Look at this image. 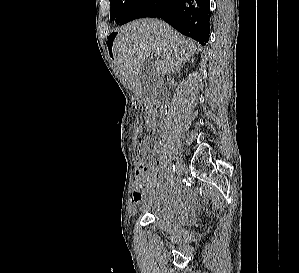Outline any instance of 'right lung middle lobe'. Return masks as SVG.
Returning a JSON list of instances; mask_svg holds the SVG:
<instances>
[{"instance_id":"right-lung-middle-lobe-1","label":"right lung middle lobe","mask_w":299,"mask_h":273,"mask_svg":"<svg viewBox=\"0 0 299 273\" xmlns=\"http://www.w3.org/2000/svg\"><path fill=\"white\" fill-rule=\"evenodd\" d=\"M135 0H110V20L120 23L127 10Z\"/></svg>"}]
</instances>
